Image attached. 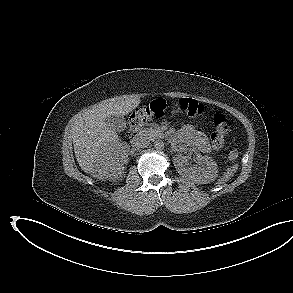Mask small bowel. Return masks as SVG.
<instances>
[{
	"mask_svg": "<svg viewBox=\"0 0 293 293\" xmlns=\"http://www.w3.org/2000/svg\"><path fill=\"white\" fill-rule=\"evenodd\" d=\"M178 138L201 152L210 150V144L205 134L195 129L192 125H184L178 134Z\"/></svg>",
	"mask_w": 293,
	"mask_h": 293,
	"instance_id": "1",
	"label": "small bowel"
}]
</instances>
